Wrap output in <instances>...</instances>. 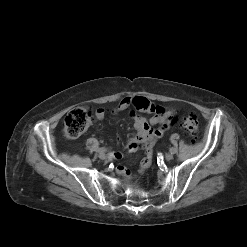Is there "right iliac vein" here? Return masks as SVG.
I'll return each mask as SVG.
<instances>
[{
	"label": "right iliac vein",
	"mask_w": 247,
	"mask_h": 247,
	"mask_svg": "<svg viewBox=\"0 0 247 247\" xmlns=\"http://www.w3.org/2000/svg\"><path fill=\"white\" fill-rule=\"evenodd\" d=\"M106 154L104 153V152H99V158L100 159H102V160H104V159H106Z\"/></svg>",
	"instance_id": "obj_1"
}]
</instances>
